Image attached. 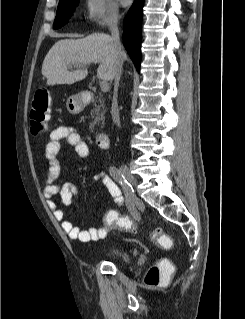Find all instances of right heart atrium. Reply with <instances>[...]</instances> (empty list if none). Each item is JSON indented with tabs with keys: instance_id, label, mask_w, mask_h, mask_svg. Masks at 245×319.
<instances>
[{
	"instance_id": "1",
	"label": "right heart atrium",
	"mask_w": 245,
	"mask_h": 319,
	"mask_svg": "<svg viewBox=\"0 0 245 319\" xmlns=\"http://www.w3.org/2000/svg\"><path fill=\"white\" fill-rule=\"evenodd\" d=\"M118 17L114 0H85V20L91 29L113 25Z\"/></svg>"
}]
</instances>
